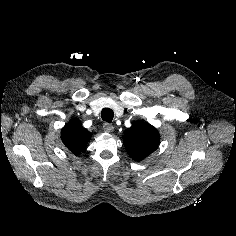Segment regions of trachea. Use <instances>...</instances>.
<instances>
[{
    "instance_id": "3493384b",
    "label": "trachea",
    "mask_w": 236,
    "mask_h": 236,
    "mask_svg": "<svg viewBox=\"0 0 236 236\" xmlns=\"http://www.w3.org/2000/svg\"><path fill=\"white\" fill-rule=\"evenodd\" d=\"M101 117L103 121H106L108 123H111V121L113 120L114 117V112L112 109L109 108H104L101 111Z\"/></svg>"
}]
</instances>
